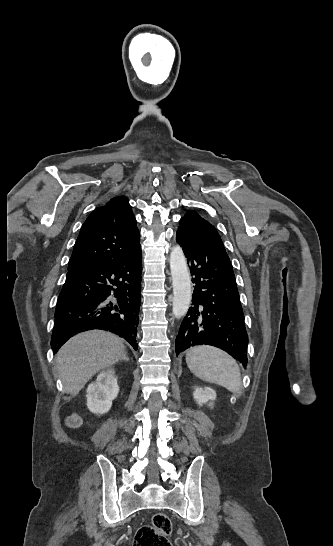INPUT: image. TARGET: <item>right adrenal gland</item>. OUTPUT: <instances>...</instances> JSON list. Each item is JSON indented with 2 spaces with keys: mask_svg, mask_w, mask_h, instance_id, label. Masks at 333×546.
I'll list each match as a JSON object with an SVG mask.
<instances>
[{
  "mask_svg": "<svg viewBox=\"0 0 333 546\" xmlns=\"http://www.w3.org/2000/svg\"><path fill=\"white\" fill-rule=\"evenodd\" d=\"M123 360L129 361V359L126 357V354L124 355Z\"/></svg>",
  "mask_w": 333,
  "mask_h": 546,
  "instance_id": "1",
  "label": "right adrenal gland"
}]
</instances>
